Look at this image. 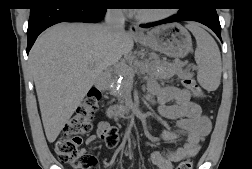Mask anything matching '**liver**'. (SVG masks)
I'll return each mask as SVG.
<instances>
[{
	"instance_id": "liver-1",
	"label": "liver",
	"mask_w": 252,
	"mask_h": 169,
	"mask_svg": "<svg viewBox=\"0 0 252 169\" xmlns=\"http://www.w3.org/2000/svg\"><path fill=\"white\" fill-rule=\"evenodd\" d=\"M134 46L130 34L108 36L102 24L60 23L44 31L29 63L48 142L53 143L96 80Z\"/></svg>"
}]
</instances>
